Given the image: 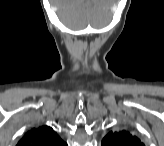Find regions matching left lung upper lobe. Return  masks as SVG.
<instances>
[{
    "mask_svg": "<svg viewBox=\"0 0 164 146\" xmlns=\"http://www.w3.org/2000/svg\"><path fill=\"white\" fill-rule=\"evenodd\" d=\"M102 146H144V144L128 131H110L102 140Z\"/></svg>",
    "mask_w": 164,
    "mask_h": 146,
    "instance_id": "obj_1",
    "label": "left lung upper lobe"
}]
</instances>
